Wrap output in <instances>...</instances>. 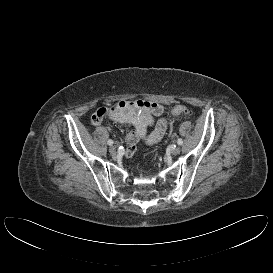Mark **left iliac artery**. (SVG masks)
Returning <instances> with one entry per match:
<instances>
[{"label":"left iliac artery","instance_id":"44dca946","mask_svg":"<svg viewBox=\"0 0 273 273\" xmlns=\"http://www.w3.org/2000/svg\"><path fill=\"white\" fill-rule=\"evenodd\" d=\"M177 143H178V145H182V144H183V140H182L181 138H179V139L177 140Z\"/></svg>","mask_w":273,"mask_h":273}]
</instances>
